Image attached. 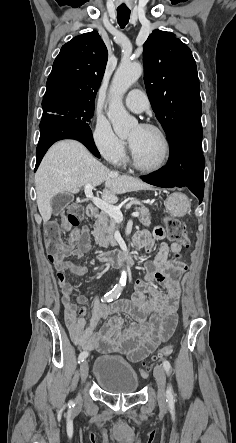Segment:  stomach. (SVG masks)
<instances>
[{
	"label": "stomach",
	"mask_w": 236,
	"mask_h": 443,
	"mask_svg": "<svg viewBox=\"0 0 236 443\" xmlns=\"http://www.w3.org/2000/svg\"><path fill=\"white\" fill-rule=\"evenodd\" d=\"M165 206L171 215L180 217L189 210L190 203L185 194L174 192L166 199Z\"/></svg>",
	"instance_id": "obj_1"
}]
</instances>
